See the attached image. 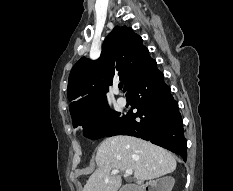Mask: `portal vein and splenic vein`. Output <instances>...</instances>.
Wrapping results in <instances>:
<instances>
[{
    "instance_id": "1",
    "label": "portal vein and splenic vein",
    "mask_w": 233,
    "mask_h": 191,
    "mask_svg": "<svg viewBox=\"0 0 233 191\" xmlns=\"http://www.w3.org/2000/svg\"><path fill=\"white\" fill-rule=\"evenodd\" d=\"M120 171L119 170H112L111 174L116 175L118 174ZM126 175H132L133 171L131 169H128L125 171Z\"/></svg>"
}]
</instances>
